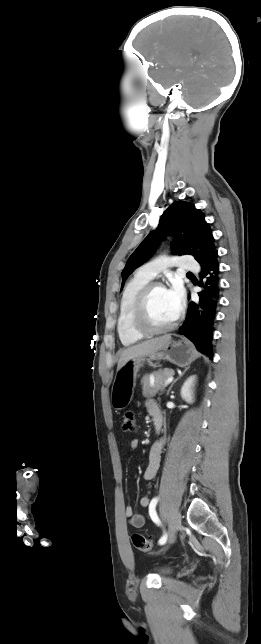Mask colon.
I'll list each match as a JSON object with an SVG mask.
<instances>
[{
    "instance_id": "obj_1",
    "label": "colon",
    "mask_w": 261,
    "mask_h": 644,
    "mask_svg": "<svg viewBox=\"0 0 261 644\" xmlns=\"http://www.w3.org/2000/svg\"><path fill=\"white\" fill-rule=\"evenodd\" d=\"M136 426H137V421H136L135 413L133 411L125 412L122 420L123 431L127 433H132L136 430ZM132 543L135 546V548L140 551H149L152 549L151 540L141 534H137V533L133 534Z\"/></svg>"
}]
</instances>
